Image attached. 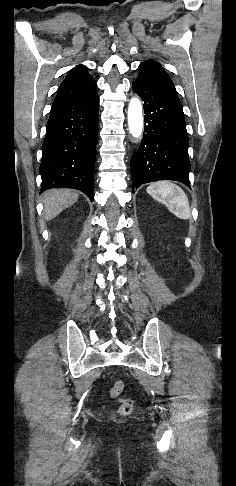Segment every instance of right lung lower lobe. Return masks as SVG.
Segmentation results:
<instances>
[{
	"label": "right lung lower lobe",
	"mask_w": 236,
	"mask_h": 486,
	"mask_svg": "<svg viewBox=\"0 0 236 486\" xmlns=\"http://www.w3.org/2000/svg\"><path fill=\"white\" fill-rule=\"evenodd\" d=\"M98 104L95 93L83 100L52 106L42 145L40 192L73 188L93 201Z\"/></svg>",
	"instance_id": "1"
}]
</instances>
